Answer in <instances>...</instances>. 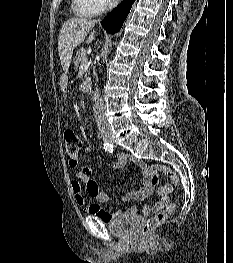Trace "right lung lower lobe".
Returning a JSON list of instances; mask_svg holds the SVG:
<instances>
[{
  "mask_svg": "<svg viewBox=\"0 0 233 263\" xmlns=\"http://www.w3.org/2000/svg\"><path fill=\"white\" fill-rule=\"evenodd\" d=\"M134 1L123 0L102 20V26L107 32L115 33L121 29Z\"/></svg>",
  "mask_w": 233,
  "mask_h": 263,
  "instance_id": "98d812e1",
  "label": "right lung lower lobe"
}]
</instances>
